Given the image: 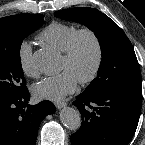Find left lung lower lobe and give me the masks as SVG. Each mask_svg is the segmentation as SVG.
<instances>
[{
    "label": "left lung lower lobe",
    "mask_w": 145,
    "mask_h": 145,
    "mask_svg": "<svg viewBox=\"0 0 145 145\" xmlns=\"http://www.w3.org/2000/svg\"><path fill=\"white\" fill-rule=\"evenodd\" d=\"M73 104L83 122L71 135L72 145H128L140 117L142 85L101 94L83 92Z\"/></svg>",
    "instance_id": "obj_1"
}]
</instances>
